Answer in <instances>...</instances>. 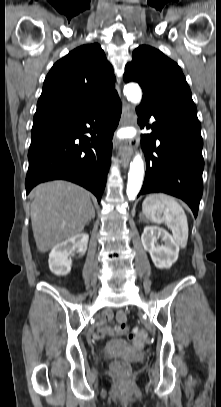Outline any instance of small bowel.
<instances>
[{"mask_svg": "<svg viewBox=\"0 0 221 407\" xmlns=\"http://www.w3.org/2000/svg\"><path fill=\"white\" fill-rule=\"evenodd\" d=\"M113 318V314L111 311H105L102 316L103 322H110Z\"/></svg>", "mask_w": 221, "mask_h": 407, "instance_id": "1", "label": "small bowel"}]
</instances>
